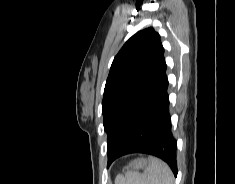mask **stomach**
Returning a JSON list of instances; mask_svg holds the SVG:
<instances>
[{"mask_svg":"<svg viewBox=\"0 0 235 184\" xmlns=\"http://www.w3.org/2000/svg\"><path fill=\"white\" fill-rule=\"evenodd\" d=\"M146 166H148L147 160H144V158H138V160L130 162L129 166H126L124 170H140V168H146Z\"/></svg>","mask_w":235,"mask_h":184,"instance_id":"stomach-1","label":"stomach"}]
</instances>
